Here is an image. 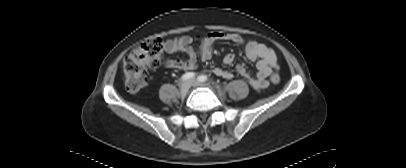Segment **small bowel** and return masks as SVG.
I'll return each mask as SVG.
<instances>
[{"label":"small bowel","mask_w":406,"mask_h":168,"mask_svg":"<svg viewBox=\"0 0 406 168\" xmlns=\"http://www.w3.org/2000/svg\"><path fill=\"white\" fill-rule=\"evenodd\" d=\"M198 40L199 50L196 51L192 44ZM216 41H229L238 45H244L246 57L250 61H256L257 73L252 77L243 64H237V72L248 82L256 91H262L268 87V77L279 68L275 52L267 45L255 40L245 41L237 33L212 32L198 38L192 36H181L169 39L165 42L164 49L168 54L184 53L186 59H167L165 66L178 70H191L197 66V59L208 60L212 56V45ZM235 60L233 54L228 53L223 58L225 65H231ZM213 73L225 79H231L233 74L223 67H217Z\"/></svg>","instance_id":"1"}]
</instances>
